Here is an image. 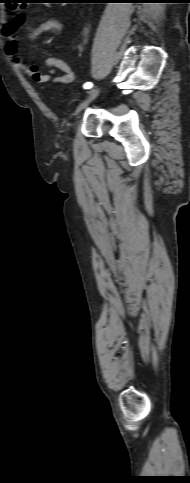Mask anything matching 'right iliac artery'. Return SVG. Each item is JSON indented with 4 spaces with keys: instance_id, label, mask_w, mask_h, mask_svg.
Returning a JSON list of instances; mask_svg holds the SVG:
<instances>
[{
    "instance_id": "right-iliac-artery-1",
    "label": "right iliac artery",
    "mask_w": 190,
    "mask_h": 483,
    "mask_svg": "<svg viewBox=\"0 0 190 483\" xmlns=\"http://www.w3.org/2000/svg\"><path fill=\"white\" fill-rule=\"evenodd\" d=\"M92 86H93V84H92L91 82H86V83L83 85L84 89H90V88H92Z\"/></svg>"
}]
</instances>
